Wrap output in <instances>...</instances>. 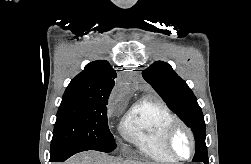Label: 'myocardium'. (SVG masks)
<instances>
[{"instance_id":"f54148a6","label":"myocardium","mask_w":251,"mask_h":164,"mask_svg":"<svg viewBox=\"0 0 251 164\" xmlns=\"http://www.w3.org/2000/svg\"><path fill=\"white\" fill-rule=\"evenodd\" d=\"M180 129L185 131V133L188 135L190 143H191V151L187 157H179V156L175 155L172 151V148H171V141H172L175 133ZM162 145H163V149H164L165 153L171 159H173L174 161H177V162H184V161L190 160L194 156L195 151H196V141H195L193 131L186 123H184L183 121H181L179 119L173 120L165 128L164 133H163V137H162Z\"/></svg>"}]
</instances>
